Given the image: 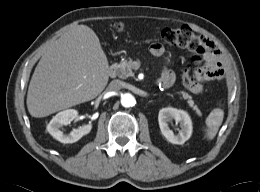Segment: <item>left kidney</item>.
Returning <instances> with one entry per match:
<instances>
[{
  "label": "left kidney",
  "instance_id": "1",
  "mask_svg": "<svg viewBox=\"0 0 260 192\" xmlns=\"http://www.w3.org/2000/svg\"><path fill=\"white\" fill-rule=\"evenodd\" d=\"M175 120L176 124L179 123L180 129L178 134L170 129L169 124ZM159 127L163 136L173 144H184L192 134V121L187 112L178 110L176 108L167 107L162 108L158 115Z\"/></svg>",
  "mask_w": 260,
  "mask_h": 192
}]
</instances>
